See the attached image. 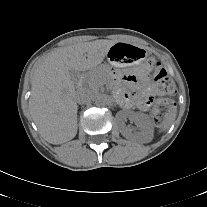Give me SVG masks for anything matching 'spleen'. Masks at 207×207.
<instances>
[{
    "instance_id": "3e777b00",
    "label": "spleen",
    "mask_w": 207,
    "mask_h": 207,
    "mask_svg": "<svg viewBox=\"0 0 207 207\" xmlns=\"http://www.w3.org/2000/svg\"><path fill=\"white\" fill-rule=\"evenodd\" d=\"M176 118V110L171 109L165 113L162 122L159 125L160 132L166 131L170 128Z\"/></svg>"
}]
</instances>
